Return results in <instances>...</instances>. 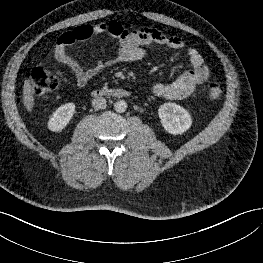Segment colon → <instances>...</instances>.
Wrapping results in <instances>:
<instances>
[{"mask_svg": "<svg viewBox=\"0 0 263 263\" xmlns=\"http://www.w3.org/2000/svg\"><path fill=\"white\" fill-rule=\"evenodd\" d=\"M31 88L36 95H46L53 92L59 86V78L43 67H35L30 75ZM223 94V87L218 83H212L208 87V97L211 100L219 99Z\"/></svg>", "mask_w": 263, "mask_h": 263, "instance_id": "colon-1", "label": "colon"}]
</instances>
